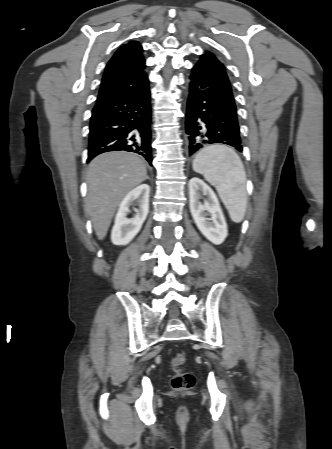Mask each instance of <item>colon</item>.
Masks as SVG:
<instances>
[{
  "label": "colon",
  "instance_id": "obj_1",
  "mask_svg": "<svg viewBox=\"0 0 332 449\" xmlns=\"http://www.w3.org/2000/svg\"><path fill=\"white\" fill-rule=\"evenodd\" d=\"M184 363L185 356L181 353L175 354L171 360V365L174 371L172 387L178 391L191 389L195 383V378L192 373L181 370V366Z\"/></svg>",
  "mask_w": 332,
  "mask_h": 449
}]
</instances>
